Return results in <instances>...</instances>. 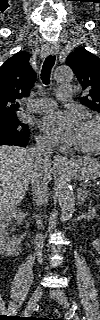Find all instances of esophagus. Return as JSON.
<instances>
[{"mask_svg": "<svg viewBox=\"0 0 100 320\" xmlns=\"http://www.w3.org/2000/svg\"><path fill=\"white\" fill-rule=\"evenodd\" d=\"M58 51H59V46L57 44H54L50 47L49 54L56 55ZM53 164H54V167L56 168L66 169L70 164V160L68 157L55 155L53 157Z\"/></svg>", "mask_w": 100, "mask_h": 320, "instance_id": "1", "label": "esophagus"}]
</instances>
